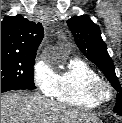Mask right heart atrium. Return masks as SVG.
Returning <instances> with one entry per match:
<instances>
[{
    "label": "right heart atrium",
    "mask_w": 122,
    "mask_h": 123,
    "mask_svg": "<svg viewBox=\"0 0 122 123\" xmlns=\"http://www.w3.org/2000/svg\"><path fill=\"white\" fill-rule=\"evenodd\" d=\"M33 80L39 91L51 96L55 83V72L46 56H38L33 66Z\"/></svg>",
    "instance_id": "d8ad5b80"
}]
</instances>
